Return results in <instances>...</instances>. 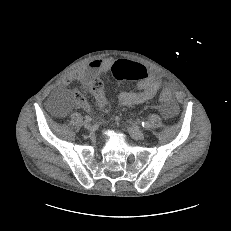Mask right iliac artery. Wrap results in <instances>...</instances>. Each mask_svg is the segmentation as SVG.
<instances>
[{
    "mask_svg": "<svg viewBox=\"0 0 231 231\" xmlns=\"http://www.w3.org/2000/svg\"><path fill=\"white\" fill-rule=\"evenodd\" d=\"M85 121L90 122V121H91V117H89V116H85Z\"/></svg>",
    "mask_w": 231,
    "mask_h": 231,
    "instance_id": "1",
    "label": "right iliac artery"
}]
</instances>
